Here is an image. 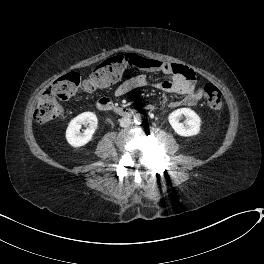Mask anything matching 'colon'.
<instances>
[{
    "label": "colon",
    "mask_w": 264,
    "mask_h": 264,
    "mask_svg": "<svg viewBox=\"0 0 264 264\" xmlns=\"http://www.w3.org/2000/svg\"><path fill=\"white\" fill-rule=\"evenodd\" d=\"M138 68L134 55L109 58L98 65L90 78L83 82L75 72H69L56 79L38 99L35 118L41 123L56 120L63 115V107L59 99H71L77 93L95 91L117 82L125 73ZM205 98L209 107L219 109L222 106V93L212 83L204 88Z\"/></svg>",
    "instance_id": "colon-1"
}]
</instances>
